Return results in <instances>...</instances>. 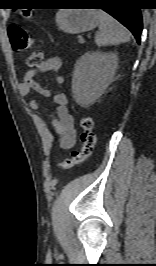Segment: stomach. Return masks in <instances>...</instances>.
<instances>
[{
	"label": "stomach",
	"mask_w": 156,
	"mask_h": 266,
	"mask_svg": "<svg viewBox=\"0 0 156 266\" xmlns=\"http://www.w3.org/2000/svg\"><path fill=\"white\" fill-rule=\"evenodd\" d=\"M56 23L60 30L77 34L94 29L99 19L92 9H60L56 13Z\"/></svg>",
	"instance_id": "stomach-1"
}]
</instances>
